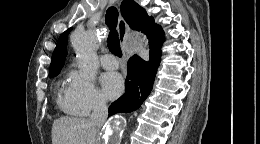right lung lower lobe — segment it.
Returning a JSON list of instances; mask_svg holds the SVG:
<instances>
[{
    "mask_svg": "<svg viewBox=\"0 0 260 144\" xmlns=\"http://www.w3.org/2000/svg\"><path fill=\"white\" fill-rule=\"evenodd\" d=\"M162 43L163 41L150 46L148 62L137 55L129 59L125 94L109 106V115L138 109L150 94L161 61Z\"/></svg>",
    "mask_w": 260,
    "mask_h": 144,
    "instance_id": "obj_1",
    "label": "right lung lower lobe"
}]
</instances>
